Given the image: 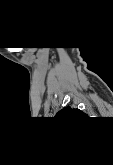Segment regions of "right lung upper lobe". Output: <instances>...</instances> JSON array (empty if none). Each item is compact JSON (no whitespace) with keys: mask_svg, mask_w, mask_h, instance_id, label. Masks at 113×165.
Wrapping results in <instances>:
<instances>
[{"mask_svg":"<svg viewBox=\"0 0 113 165\" xmlns=\"http://www.w3.org/2000/svg\"><path fill=\"white\" fill-rule=\"evenodd\" d=\"M86 114L83 113L80 109H74L70 106L64 107L62 110H60L56 117H62V118H78V117H85Z\"/></svg>","mask_w":113,"mask_h":165,"instance_id":"right-lung-upper-lobe-1","label":"right lung upper lobe"}]
</instances>
